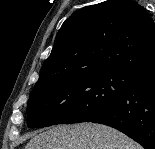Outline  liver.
<instances>
[{
    "instance_id": "obj_1",
    "label": "liver",
    "mask_w": 155,
    "mask_h": 149,
    "mask_svg": "<svg viewBox=\"0 0 155 149\" xmlns=\"http://www.w3.org/2000/svg\"><path fill=\"white\" fill-rule=\"evenodd\" d=\"M25 149H143L118 130L95 123L59 125L35 135Z\"/></svg>"
}]
</instances>
